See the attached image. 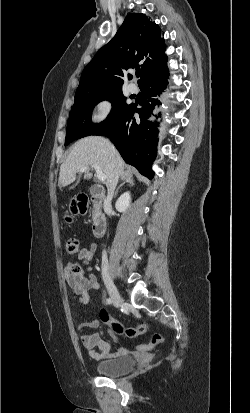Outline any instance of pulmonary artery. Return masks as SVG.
Wrapping results in <instances>:
<instances>
[{
    "instance_id": "pulmonary-artery-1",
    "label": "pulmonary artery",
    "mask_w": 250,
    "mask_h": 413,
    "mask_svg": "<svg viewBox=\"0 0 250 413\" xmlns=\"http://www.w3.org/2000/svg\"><path fill=\"white\" fill-rule=\"evenodd\" d=\"M128 90H129L131 93H136V92L138 91V87H137V85H136L135 83H130V84L128 85Z\"/></svg>"
}]
</instances>
